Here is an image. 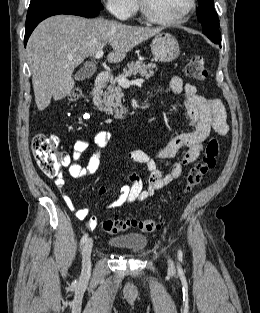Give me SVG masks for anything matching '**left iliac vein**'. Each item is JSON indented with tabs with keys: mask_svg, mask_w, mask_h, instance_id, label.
<instances>
[{
	"mask_svg": "<svg viewBox=\"0 0 260 313\" xmlns=\"http://www.w3.org/2000/svg\"><path fill=\"white\" fill-rule=\"evenodd\" d=\"M168 264H169V266H170L171 268H173V267H174L173 262H172V260H171V259H168Z\"/></svg>",
	"mask_w": 260,
	"mask_h": 313,
	"instance_id": "4c4485c4",
	"label": "left iliac vein"
}]
</instances>
